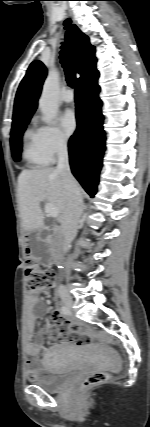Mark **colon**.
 <instances>
[{
	"label": "colon",
	"mask_w": 150,
	"mask_h": 427,
	"mask_svg": "<svg viewBox=\"0 0 150 427\" xmlns=\"http://www.w3.org/2000/svg\"><path fill=\"white\" fill-rule=\"evenodd\" d=\"M26 253V291L29 296L36 297L39 294L46 292L53 286L55 273L52 269L43 266L34 258H32L28 249ZM108 378V373H93L85 378L81 384V388L83 390L88 389L105 382Z\"/></svg>",
	"instance_id": "colon-1"
}]
</instances>
